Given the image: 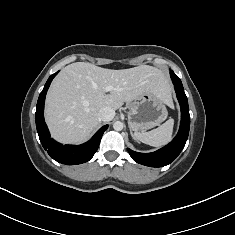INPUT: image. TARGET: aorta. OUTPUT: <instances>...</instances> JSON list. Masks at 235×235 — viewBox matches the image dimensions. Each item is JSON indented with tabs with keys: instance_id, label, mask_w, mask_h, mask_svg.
<instances>
[{
	"instance_id": "762f6f07",
	"label": "aorta",
	"mask_w": 235,
	"mask_h": 235,
	"mask_svg": "<svg viewBox=\"0 0 235 235\" xmlns=\"http://www.w3.org/2000/svg\"><path fill=\"white\" fill-rule=\"evenodd\" d=\"M124 125L121 121H116L114 124H113V128L114 130L116 131H121L123 129Z\"/></svg>"
}]
</instances>
